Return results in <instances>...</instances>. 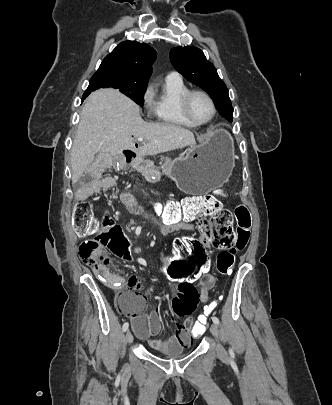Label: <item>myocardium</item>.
Returning a JSON list of instances; mask_svg holds the SVG:
<instances>
[{
  "mask_svg": "<svg viewBox=\"0 0 332 405\" xmlns=\"http://www.w3.org/2000/svg\"><path fill=\"white\" fill-rule=\"evenodd\" d=\"M194 95H202L205 98L208 99V101L210 102L211 106H212V114L211 116L205 120V121H197L193 118V116L190 113V109H189V103H190V99L192 96ZM180 110L182 115L184 116L185 119H187L189 122H191L192 124H194L195 126H203L206 124H209L211 121H213V119L215 118L216 114H217V106L216 103L213 99V97L207 93L204 90H199V89H191L186 91L181 99H180Z\"/></svg>",
  "mask_w": 332,
  "mask_h": 405,
  "instance_id": "obj_1",
  "label": "myocardium"
}]
</instances>
